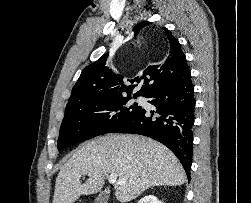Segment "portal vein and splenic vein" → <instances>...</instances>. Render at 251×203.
Masks as SVG:
<instances>
[{"instance_id":"obj_1","label":"portal vein and splenic vein","mask_w":251,"mask_h":203,"mask_svg":"<svg viewBox=\"0 0 251 203\" xmlns=\"http://www.w3.org/2000/svg\"><path fill=\"white\" fill-rule=\"evenodd\" d=\"M118 176L114 173L109 175V182L112 184H117V185H123L125 184V180L124 179H118Z\"/></svg>"}]
</instances>
